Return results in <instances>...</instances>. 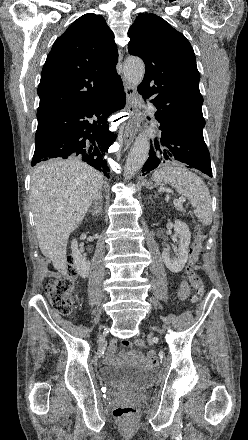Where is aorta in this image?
<instances>
[{"label": "aorta", "instance_id": "aorta-1", "mask_svg": "<svg viewBox=\"0 0 248 440\" xmlns=\"http://www.w3.org/2000/svg\"><path fill=\"white\" fill-rule=\"evenodd\" d=\"M145 65L139 58H128L124 62L123 74L133 88H137L143 80ZM150 142L142 133L135 139L133 147L127 157L124 167V178L131 179L138 172L148 158Z\"/></svg>", "mask_w": 248, "mask_h": 440}]
</instances>
